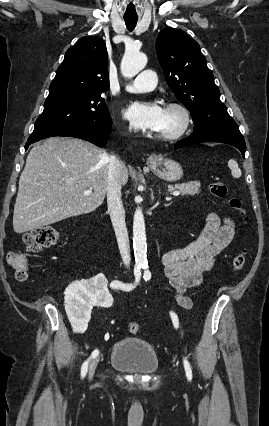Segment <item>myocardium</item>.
<instances>
[{
    "instance_id": "f54148a6",
    "label": "myocardium",
    "mask_w": 269,
    "mask_h": 426,
    "mask_svg": "<svg viewBox=\"0 0 269 426\" xmlns=\"http://www.w3.org/2000/svg\"><path fill=\"white\" fill-rule=\"evenodd\" d=\"M165 110H170L177 112L180 116V124L179 126L168 133H158V139L162 141H175L181 138L189 129L191 124V114L186 106L181 103L171 102L168 103L165 107Z\"/></svg>"
}]
</instances>
